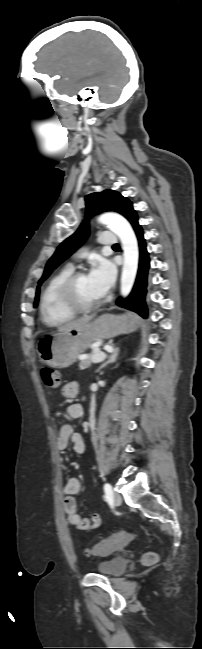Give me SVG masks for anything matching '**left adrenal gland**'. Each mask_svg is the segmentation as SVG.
<instances>
[{
    "label": "left adrenal gland",
    "mask_w": 202,
    "mask_h": 649,
    "mask_svg": "<svg viewBox=\"0 0 202 649\" xmlns=\"http://www.w3.org/2000/svg\"><path fill=\"white\" fill-rule=\"evenodd\" d=\"M118 356H119V348H115V349L113 350L112 354L108 357L107 361L104 362L103 364H101L100 367L97 369L96 372H100L101 369H103L104 367H106L108 364H111V363L116 362V360L118 359Z\"/></svg>",
    "instance_id": "a2214340"
}]
</instances>
